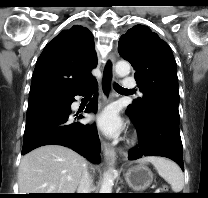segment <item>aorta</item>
Returning <instances> with one entry per match:
<instances>
[{
  "label": "aorta",
  "instance_id": "obj_1",
  "mask_svg": "<svg viewBox=\"0 0 208 198\" xmlns=\"http://www.w3.org/2000/svg\"><path fill=\"white\" fill-rule=\"evenodd\" d=\"M131 69L130 64L127 61H119L115 66V71L118 76L124 77L129 74ZM115 173L114 169H109L105 175L100 188V193H112L113 187V174Z\"/></svg>",
  "mask_w": 208,
  "mask_h": 198
}]
</instances>
